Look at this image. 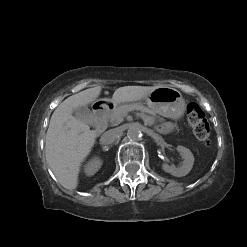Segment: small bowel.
Instances as JSON below:
<instances>
[{
	"instance_id": "c3829d8e",
	"label": "small bowel",
	"mask_w": 247,
	"mask_h": 247,
	"mask_svg": "<svg viewBox=\"0 0 247 247\" xmlns=\"http://www.w3.org/2000/svg\"><path fill=\"white\" fill-rule=\"evenodd\" d=\"M168 127H169L168 125H164V126H163L164 129H167Z\"/></svg>"
}]
</instances>
